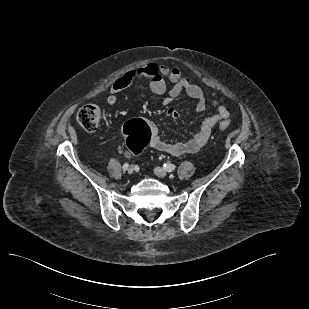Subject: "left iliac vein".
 Wrapping results in <instances>:
<instances>
[{"label": "left iliac vein", "instance_id": "left-iliac-vein-1", "mask_svg": "<svg viewBox=\"0 0 309 309\" xmlns=\"http://www.w3.org/2000/svg\"><path fill=\"white\" fill-rule=\"evenodd\" d=\"M154 173L156 176L160 177V178H164L167 176V172L165 169L161 168V167H156L154 169Z\"/></svg>", "mask_w": 309, "mask_h": 309}]
</instances>
